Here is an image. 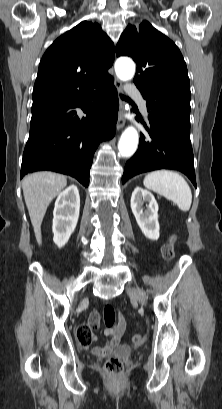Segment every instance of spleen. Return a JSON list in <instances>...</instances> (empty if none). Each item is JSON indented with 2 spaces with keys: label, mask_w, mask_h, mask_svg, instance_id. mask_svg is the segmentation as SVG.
I'll list each match as a JSON object with an SVG mask.
<instances>
[{
  "label": "spleen",
  "mask_w": 222,
  "mask_h": 409,
  "mask_svg": "<svg viewBox=\"0 0 222 409\" xmlns=\"http://www.w3.org/2000/svg\"><path fill=\"white\" fill-rule=\"evenodd\" d=\"M143 183L146 188L174 202L181 211H189L192 192L180 174L169 170L153 171L145 176Z\"/></svg>",
  "instance_id": "spleen-1"
}]
</instances>
